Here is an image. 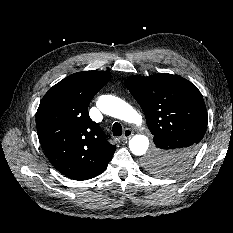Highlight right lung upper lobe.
<instances>
[{
	"label": "right lung upper lobe",
	"mask_w": 233,
	"mask_h": 233,
	"mask_svg": "<svg viewBox=\"0 0 233 233\" xmlns=\"http://www.w3.org/2000/svg\"><path fill=\"white\" fill-rule=\"evenodd\" d=\"M110 78L106 71L75 73L54 85L40 102L39 141L50 163L68 178H93L113 157L115 145L88 116L91 99Z\"/></svg>",
	"instance_id": "right-lung-upper-lobe-1"
}]
</instances>
